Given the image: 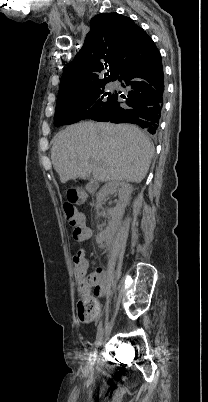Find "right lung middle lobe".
Masks as SVG:
<instances>
[{
  "label": "right lung middle lobe",
  "instance_id": "dd1d6c3e",
  "mask_svg": "<svg viewBox=\"0 0 208 402\" xmlns=\"http://www.w3.org/2000/svg\"><path fill=\"white\" fill-rule=\"evenodd\" d=\"M109 81L111 79L96 80L58 93L54 124H72L91 119L98 112L110 110L116 93L104 90Z\"/></svg>",
  "mask_w": 208,
  "mask_h": 402
}]
</instances>
